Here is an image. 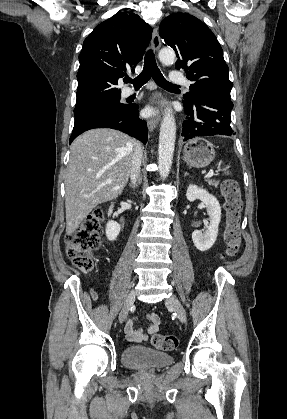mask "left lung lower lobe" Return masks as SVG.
<instances>
[{"mask_svg":"<svg viewBox=\"0 0 287 419\" xmlns=\"http://www.w3.org/2000/svg\"><path fill=\"white\" fill-rule=\"evenodd\" d=\"M187 119L183 124L184 141L196 137L234 135L230 126L233 108L231 98L221 94L197 96L191 104H185Z\"/></svg>","mask_w":287,"mask_h":419,"instance_id":"obj_1","label":"left lung lower lobe"}]
</instances>
